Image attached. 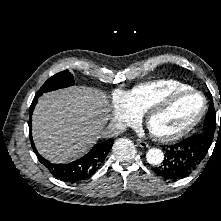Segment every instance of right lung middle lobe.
<instances>
[{
    "label": "right lung middle lobe",
    "mask_w": 221,
    "mask_h": 221,
    "mask_svg": "<svg viewBox=\"0 0 221 221\" xmlns=\"http://www.w3.org/2000/svg\"><path fill=\"white\" fill-rule=\"evenodd\" d=\"M74 84L73 75L68 70L59 72L50 77L37 92V95H42L44 92L65 88Z\"/></svg>",
    "instance_id": "1"
}]
</instances>
